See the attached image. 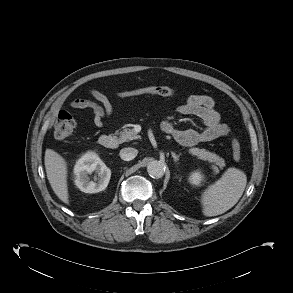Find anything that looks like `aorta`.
I'll return each mask as SVG.
<instances>
[{
    "instance_id": "aorta-1",
    "label": "aorta",
    "mask_w": 293,
    "mask_h": 293,
    "mask_svg": "<svg viewBox=\"0 0 293 293\" xmlns=\"http://www.w3.org/2000/svg\"><path fill=\"white\" fill-rule=\"evenodd\" d=\"M148 174L153 178H161L164 175L165 168L163 163L157 160L149 162L147 166Z\"/></svg>"
}]
</instances>
